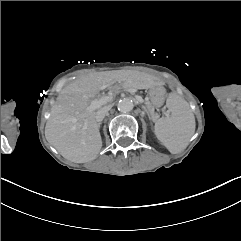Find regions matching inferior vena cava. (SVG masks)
<instances>
[{"label":"inferior vena cava","instance_id":"1","mask_svg":"<svg viewBox=\"0 0 241 241\" xmlns=\"http://www.w3.org/2000/svg\"><path fill=\"white\" fill-rule=\"evenodd\" d=\"M112 105H107L102 109H99L96 113V121L98 123H100L101 121H103V119L105 118L106 114L108 113V111L111 109Z\"/></svg>","mask_w":241,"mask_h":241}]
</instances>
